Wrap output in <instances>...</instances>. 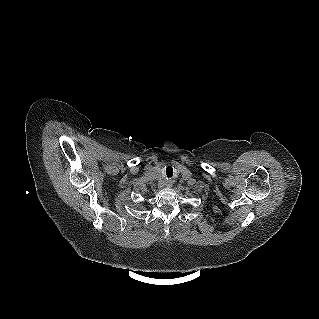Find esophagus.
I'll return each mask as SVG.
<instances>
[{
	"mask_svg": "<svg viewBox=\"0 0 319 319\" xmlns=\"http://www.w3.org/2000/svg\"><path fill=\"white\" fill-rule=\"evenodd\" d=\"M171 185H172V184H171V182H167V186H169V187H170Z\"/></svg>",
	"mask_w": 319,
	"mask_h": 319,
	"instance_id": "1",
	"label": "esophagus"
}]
</instances>
